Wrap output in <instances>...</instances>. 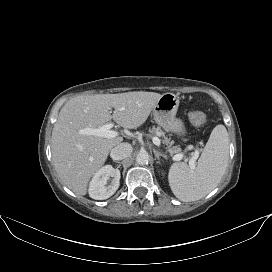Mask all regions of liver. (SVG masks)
<instances>
[{"instance_id": "liver-1", "label": "liver", "mask_w": 272, "mask_h": 272, "mask_svg": "<svg viewBox=\"0 0 272 272\" xmlns=\"http://www.w3.org/2000/svg\"><path fill=\"white\" fill-rule=\"evenodd\" d=\"M161 96L135 91L70 99L59 112L51 140L54 167L63 183L77 195H85L90 178L123 141L122 137L82 134V129L98 128L111 119L123 128L136 129L145 123ZM110 108H114L112 115Z\"/></svg>"}]
</instances>
